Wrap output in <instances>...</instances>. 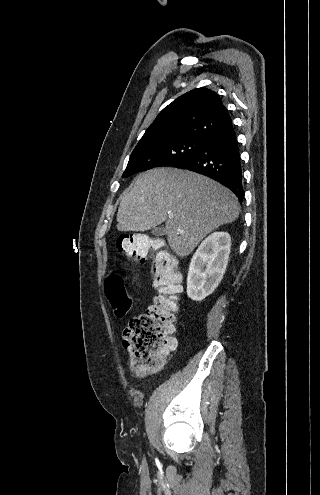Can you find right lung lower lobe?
<instances>
[{
	"mask_svg": "<svg viewBox=\"0 0 320 495\" xmlns=\"http://www.w3.org/2000/svg\"><path fill=\"white\" fill-rule=\"evenodd\" d=\"M173 167L187 169L220 182L242 203V165L239 143L232 123L208 135L201 148L191 158Z\"/></svg>",
	"mask_w": 320,
	"mask_h": 495,
	"instance_id": "98d812e1",
	"label": "right lung lower lobe"
}]
</instances>
